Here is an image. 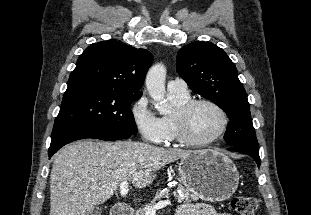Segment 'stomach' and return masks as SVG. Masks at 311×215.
Listing matches in <instances>:
<instances>
[{
    "label": "stomach",
    "instance_id": "0dacf381",
    "mask_svg": "<svg viewBox=\"0 0 311 215\" xmlns=\"http://www.w3.org/2000/svg\"><path fill=\"white\" fill-rule=\"evenodd\" d=\"M182 184L195 196L208 202L230 198L239 183V172L228 156L216 150L191 152L179 163Z\"/></svg>",
    "mask_w": 311,
    "mask_h": 215
}]
</instances>
